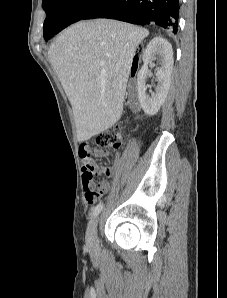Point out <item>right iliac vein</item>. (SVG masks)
I'll return each mask as SVG.
<instances>
[{"instance_id":"1","label":"right iliac vein","mask_w":227,"mask_h":298,"mask_svg":"<svg viewBox=\"0 0 227 298\" xmlns=\"http://www.w3.org/2000/svg\"><path fill=\"white\" fill-rule=\"evenodd\" d=\"M97 223L98 218L91 220L86 231V242L91 249H95L98 245Z\"/></svg>"}]
</instances>
